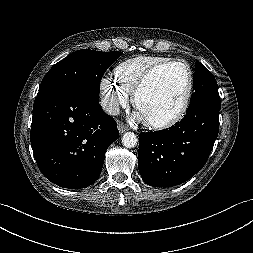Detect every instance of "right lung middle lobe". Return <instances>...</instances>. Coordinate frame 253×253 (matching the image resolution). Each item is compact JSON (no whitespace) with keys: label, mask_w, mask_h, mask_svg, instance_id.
<instances>
[{"label":"right lung middle lobe","mask_w":253,"mask_h":253,"mask_svg":"<svg viewBox=\"0 0 253 253\" xmlns=\"http://www.w3.org/2000/svg\"><path fill=\"white\" fill-rule=\"evenodd\" d=\"M122 52L78 50L55 64L43 78L39 92L61 89L99 100L100 80Z\"/></svg>","instance_id":"obj_1"}]
</instances>
